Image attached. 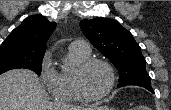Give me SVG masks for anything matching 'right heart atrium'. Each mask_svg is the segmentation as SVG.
I'll use <instances>...</instances> for the list:
<instances>
[{
    "label": "right heart atrium",
    "mask_w": 171,
    "mask_h": 110,
    "mask_svg": "<svg viewBox=\"0 0 171 110\" xmlns=\"http://www.w3.org/2000/svg\"><path fill=\"white\" fill-rule=\"evenodd\" d=\"M56 75L57 72L51 64V56L49 53H46L41 62L40 78L42 82L49 87L56 78Z\"/></svg>",
    "instance_id": "obj_1"
}]
</instances>
